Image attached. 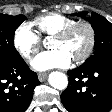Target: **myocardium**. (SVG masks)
Returning a JSON list of instances; mask_svg holds the SVG:
<instances>
[{"instance_id": "obj_1", "label": "myocardium", "mask_w": 112, "mask_h": 112, "mask_svg": "<svg viewBox=\"0 0 112 112\" xmlns=\"http://www.w3.org/2000/svg\"><path fill=\"white\" fill-rule=\"evenodd\" d=\"M80 27H84L87 30L89 39L85 51L81 55L73 59V61L76 63L84 62L86 59L89 58V56L92 54L94 50L95 43H96V31L93 25L87 21H79L65 27L64 29H62L61 31L53 35L54 38L64 40L68 38L76 29Z\"/></svg>"}]
</instances>
